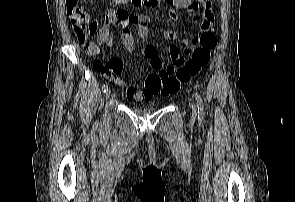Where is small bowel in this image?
<instances>
[{"label": "small bowel", "instance_id": "c3829d8e", "mask_svg": "<svg viewBox=\"0 0 295 202\" xmlns=\"http://www.w3.org/2000/svg\"><path fill=\"white\" fill-rule=\"evenodd\" d=\"M174 1V0H173ZM175 6L186 10L187 12H195L199 9L202 10V24L203 29L208 26H213L214 23V14L212 10V3L210 0H175ZM118 10L116 9H108L106 11L105 22L103 26L99 29L98 43H90L85 45V50L89 54L100 55L102 53V46L112 45V38L109 33V27L114 24H122L127 25L128 23L123 22L118 17ZM128 15L130 14L126 11ZM137 17V31L138 36L142 40H146L150 34L149 22L150 17L145 14L134 15ZM170 17L172 19L176 18V13L174 11L170 12ZM121 41L123 46L127 51H132L135 48V41L131 31L125 26L121 32ZM184 48V51L192 50L193 46H180L172 44L168 48L169 59L171 61L170 64H173L179 60L181 57V50ZM144 55L149 59L150 65L153 70L161 71L166 67H163V60L159 53V50L154 45H147L143 49ZM107 63H95V70L102 75L108 81H111L126 91V95L128 99L141 102V101H150L154 96V92L151 90H135L132 86L126 83L124 80L118 78L116 75H122L124 63H122V59H107ZM169 64V65H170Z\"/></svg>", "mask_w": 295, "mask_h": 202}]
</instances>
